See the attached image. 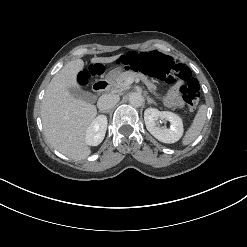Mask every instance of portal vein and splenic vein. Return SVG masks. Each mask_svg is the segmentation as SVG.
Segmentation results:
<instances>
[{
  "label": "portal vein and splenic vein",
  "instance_id": "1",
  "mask_svg": "<svg viewBox=\"0 0 247 247\" xmlns=\"http://www.w3.org/2000/svg\"><path fill=\"white\" fill-rule=\"evenodd\" d=\"M133 82H134V79L129 78V79L126 81V85H129V84H131V83H133Z\"/></svg>",
  "mask_w": 247,
  "mask_h": 247
}]
</instances>
